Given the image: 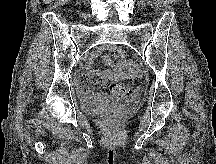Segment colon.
I'll list each match as a JSON object with an SVG mask.
<instances>
[{
	"label": "colon",
	"instance_id": "obj_1",
	"mask_svg": "<svg viewBox=\"0 0 216 164\" xmlns=\"http://www.w3.org/2000/svg\"><path fill=\"white\" fill-rule=\"evenodd\" d=\"M100 84L107 87L110 96L117 100L133 99L138 93L136 89H133L129 84L125 83L111 84L108 80H101L99 81V85ZM109 120L110 124L113 126H117L121 122L120 117L116 114H112Z\"/></svg>",
	"mask_w": 216,
	"mask_h": 164
}]
</instances>
